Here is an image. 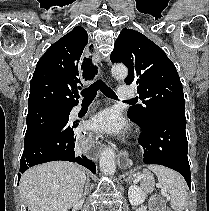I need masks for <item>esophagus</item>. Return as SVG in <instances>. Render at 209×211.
Wrapping results in <instances>:
<instances>
[{"mask_svg": "<svg viewBox=\"0 0 209 211\" xmlns=\"http://www.w3.org/2000/svg\"><path fill=\"white\" fill-rule=\"evenodd\" d=\"M89 50L92 52H85V56L81 59V64H79V69H81V79L83 82H93L97 75V64L98 52L94 51V45H89ZM91 133H78L76 145L77 149H84L85 156L87 159H96L98 152L105 148L104 144H93V140H90ZM118 164L120 167H127L129 164V159L126 158V154H117Z\"/></svg>", "mask_w": 209, "mask_h": 211, "instance_id": "1", "label": "esophagus"}]
</instances>
